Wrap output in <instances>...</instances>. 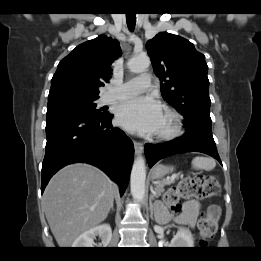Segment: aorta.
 Instances as JSON below:
<instances>
[{
  "label": "aorta",
  "mask_w": 261,
  "mask_h": 261,
  "mask_svg": "<svg viewBox=\"0 0 261 261\" xmlns=\"http://www.w3.org/2000/svg\"><path fill=\"white\" fill-rule=\"evenodd\" d=\"M128 68L133 73L145 71L150 65V59L147 56H136L128 61ZM146 169L145 161L142 157L135 159L131 170V194L133 198L141 202L145 195Z\"/></svg>",
  "instance_id": "1"
}]
</instances>
